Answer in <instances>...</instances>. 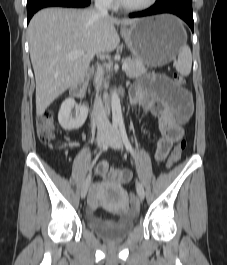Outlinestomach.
<instances>
[{
	"label": "stomach",
	"instance_id": "0dacf381",
	"mask_svg": "<svg viewBox=\"0 0 227 265\" xmlns=\"http://www.w3.org/2000/svg\"><path fill=\"white\" fill-rule=\"evenodd\" d=\"M121 34L134 57L154 67L172 61L187 39L182 22L170 14L139 19Z\"/></svg>",
	"mask_w": 227,
	"mask_h": 265
}]
</instances>
